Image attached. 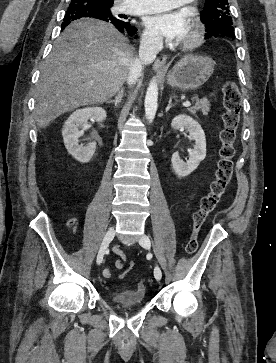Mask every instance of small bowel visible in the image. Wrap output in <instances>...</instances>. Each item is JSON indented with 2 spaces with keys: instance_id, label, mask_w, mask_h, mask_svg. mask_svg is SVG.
I'll list each match as a JSON object with an SVG mask.
<instances>
[{
  "instance_id": "small-bowel-1",
  "label": "small bowel",
  "mask_w": 276,
  "mask_h": 363,
  "mask_svg": "<svg viewBox=\"0 0 276 363\" xmlns=\"http://www.w3.org/2000/svg\"><path fill=\"white\" fill-rule=\"evenodd\" d=\"M114 253L117 255V259L115 261V267L118 269L124 268L127 258H126L125 253L121 249L120 245H116L114 247ZM103 275H104V277L109 278L112 276V272L109 268H105L103 270Z\"/></svg>"
}]
</instances>
